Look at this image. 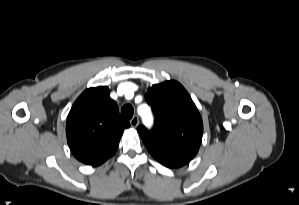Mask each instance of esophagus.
Here are the masks:
<instances>
[{
    "label": "esophagus",
    "mask_w": 299,
    "mask_h": 205,
    "mask_svg": "<svg viewBox=\"0 0 299 205\" xmlns=\"http://www.w3.org/2000/svg\"><path fill=\"white\" fill-rule=\"evenodd\" d=\"M139 124V118L138 116H133V118L130 120L131 127L135 128Z\"/></svg>",
    "instance_id": "obj_1"
}]
</instances>
